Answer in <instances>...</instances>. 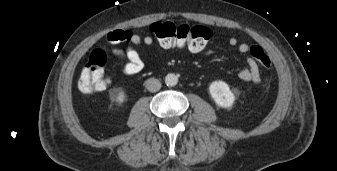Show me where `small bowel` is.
<instances>
[{
	"label": "small bowel",
	"mask_w": 337,
	"mask_h": 171,
	"mask_svg": "<svg viewBox=\"0 0 337 171\" xmlns=\"http://www.w3.org/2000/svg\"><path fill=\"white\" fill-rule=\"evenodd\" d=\"M108 40L114 44L123 41L128 43L125 50L119 48L112 49V54L118 61L127 60L121 68V72L125 76L136 75L144 68V61L136 47L140 45L152 46L155 43L154 39L149 35L142 37L129 31L112 32L108 35ZM228 44L232 47L237 46L241 53H247L249 51V45L239 43L235 37L229 38ZM239 78L245 82L260 83V71L253 58L249 57L247 59V67L239 72Z\"/></svg>",
	"instance_id": "1"
}]
</instances>
